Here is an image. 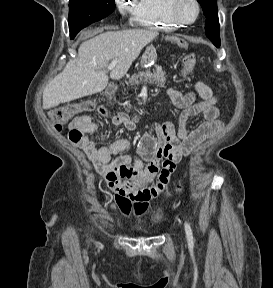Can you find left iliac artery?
<instances>
[{
	"label": "left iliac artery",
	"mask_w": 273,
	"mask_h": 288,
	"mask_svg": "<svg viewBox=\"0 0 273 288\" xmlns=\"http://www.w3.org/2000/svg\"><path fill=\"white\" fill-rule=\"evenodd\" d=\"M184 226H185V233H186L188 245H189L190 247H193V245H194V238H193V233H192V229H191V227H190V224L187 223V222H185Z\"/></svg>",
	"instance_id": "44dca946"
}]
</instances>
